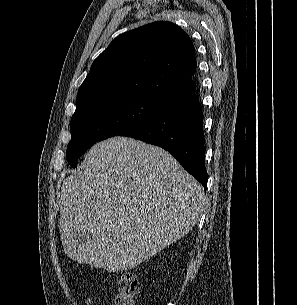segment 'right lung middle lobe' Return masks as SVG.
Masks as SVG:
<instances>
[{
	"mask_svg": "<svg viewBox=\"0 0 297 305\" xmlns=\"http://www.w3.org/2000/svg\"><path fill=\"white\" fill-rule=\"evenodd\" d=\"M170 103L152 95L124 94L76 109L71 118V140L66 151L69 164L77 167V159L93 144L144 123Z\"/></svg>",
	"mask_w": 297,
	"mask_h": 305,
	"instance_id": "obj_1",
	"label": "right lung middle lobe"
}]
</instances>
